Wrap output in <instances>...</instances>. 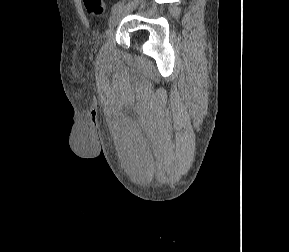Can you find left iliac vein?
<instances>
[{
  "label": "left iliac vein",
  "instance_id": "obj_1",
  "mask_svg": "<svg viewBox=\"0 0 289 252\" xmlns=\"http://www.w3.org/2000/svg\"><path fill=\"white\" fill-rule=\"evenodd\" d=\"M139 3L140 0H131L118 10L112 12L108 21L109 28L113 29L117 24H119L122 18L129 14L131 11H133Z\"/></svg>",
  "mask_w": 289,
  "mask_h": 252
}]
</instances>
